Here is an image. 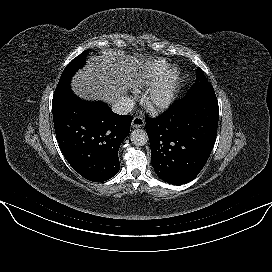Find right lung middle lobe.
I'll use <instances>...</instances> for the list:
<instances>
[{
  "label": "right lung middle lobe",
  "mask_w": 272,
  "mask_h": 272,
  "mask_svg": "<svg viewBox=\"0 0 272 272\" xmlns=\"http://www.w3.org/2000/svg\"><path fill=\"white\" fill-rule=\"evenodd\" d=\"M90 49L84 51L82 54L73 59L69 65L63 71L60 80L58 82L57 88L53 95L52 104L57 102L63 95L70 92V81L73 74L85 64V59Z\"/></svg>",
  "instance_id": "dd1d6c3e"
}]
</instances>
